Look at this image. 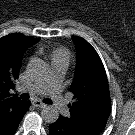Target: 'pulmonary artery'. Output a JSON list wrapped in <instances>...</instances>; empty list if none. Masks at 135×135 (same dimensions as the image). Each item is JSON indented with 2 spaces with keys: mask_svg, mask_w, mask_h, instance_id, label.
<instances>
[{
  "mask_svg": "<svg viewBox=\"0 0 135 135\" xmlns=\"http://www.w3.org/2000/svg\"><path fill=\"white\" fill-rule=\"evenodd\" d=\"M67 65L64 63L52 64V71L50 77L44 82L30 84L25 88L31 94L48 93L54 104L63 114H67V107L64 104L61 96V84L66 72ZM18 90H22L18 88Z\"/></svg>",
  "mask_w": 135,
  "mask_h": 135,
  "instance_id": "1",
  "label": "pulmonary artery"
}]
</instances>
